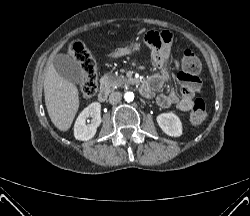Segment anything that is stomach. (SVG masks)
Returning a JSON list of instances; mask_svg holds the SVG:
<instances>
[{"instance_id": "1", "label": "stomach", "mask_w": 250, "mask_h": 216, "mask_svg": "<svg viewBox=\"0 0 250 216\" xmlns=\"http://www.w3.org/2000/svg\"><path fill=\"white\" fill-rule=\"evenodd\" d=\"M139 50H140V43H133L131 46L117 49L112 54V57L119 58V57L129 55V54L133 53L134 51H139Z\"/></svg>"}]
</instances>
